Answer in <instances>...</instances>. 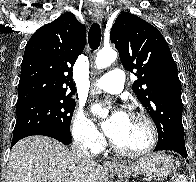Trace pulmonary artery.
Returning <instances> with one entry per match:
<instances>
[{"mask_svg":"<svg viewBox=\"0 0 196 182\" xmlns=\"http://www.w3.org/2000/svg\"><path fill=\"white\" fill-rule=\"evenodd\" d=\"M124 74L118 69H112L101 77L97 83L96 88L111 94H118L124 87Z\"/></svg>","mask_w":196,"mask_h":182,"instance_id":"pulmonary-artery-1","label":"pulmonary artery"}]
</instances>
